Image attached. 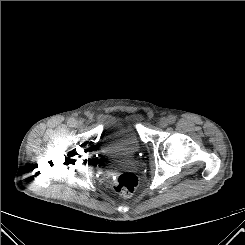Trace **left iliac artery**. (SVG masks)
<instances>
[{"instance_id": "obj_1", "label": "left iliac artery", "mask_w": 245, "mask_h": 245, "mask_svg": "<svg viewBox=\"0 0 245 245\" xmlns=\"http://www.w3.org/2000/svg\"><path fill=\"white\" fill-rule=\"evenodd\" d=\"M168 120L170 124H173L176 121V117L174 115H170Z\"/></svg>"}]
</instances>
